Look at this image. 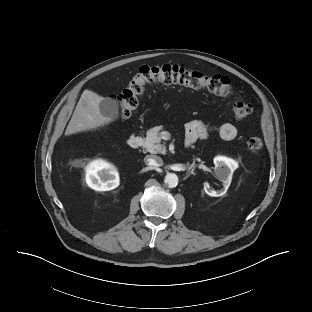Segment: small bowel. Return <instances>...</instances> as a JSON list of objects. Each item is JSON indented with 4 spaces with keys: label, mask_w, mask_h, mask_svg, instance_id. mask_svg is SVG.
Masks as SVG:
<instances>
[{
    "label": "small bowel",
    "mask_w": 312,
    "mask_h": 312,
    "mask_svg": "<svg viewBox=\"0 0 312 312\" xmlns=\"http://www.w3.org/2000/svg\"><path fill=\"white\" fill-rule=\"evenodd\" d=\"M238 129L232 123H224L219 129L220 137L225 141H230L236 138ZM208 136V130L201 121H191L186 125V144H193L199 139H205Z\"/></svg>",
    "instance_id": "c3829d8e"
}]
</instances>
